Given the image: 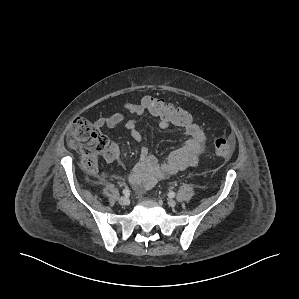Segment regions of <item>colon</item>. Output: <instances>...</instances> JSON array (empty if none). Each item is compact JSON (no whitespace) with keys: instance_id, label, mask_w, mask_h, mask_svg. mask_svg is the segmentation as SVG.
I'll list each match as a JSON object with an SVG mask.
<instances>
[{"instance_id":"obj_1","label":"colon","mask_w":299,"mask_h":299,"mask_svg":"<svg viewBox=\"0 0 299 299\" xmlns=\"http://www.w3.org/2000/svg\"><path fill=\"white\" fill-rule=\"evenodd\" d=\"M141 102L147 113L169 125L184 127L192 122L191 115L185 109L158 96H145ZM68 143L81 154L84 167L95 171L97 157L106 148L107 139L92 123L78 117L72 122ZM233 151L234 147L229 139L221 137L215 140L214 152L219 158L228 160L232 157Z\"/></svg>"}]
</instances>
